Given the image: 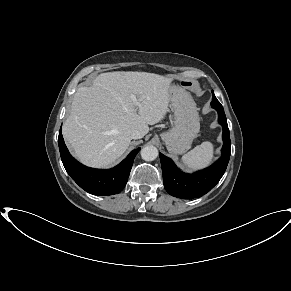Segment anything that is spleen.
I'll return each mask as SVG.
<instances>
[{
    "mask_svg": "<svg viewBox=\"0 0 291 291\" xmlns=\"http://www.w3.org/2000/svg\"><path fill=\"white\" fill-rule=\"evenodd\" d=\"M214 147L209 141L203 142L182 157V162L190 169L207 167L213 159Z\"/></svg>",
    "mask_w": 291,
    "mask_h": 291,
    "instance_id": "spleen-1",
    "label": "spleen"
}]
</instances>
